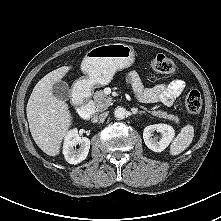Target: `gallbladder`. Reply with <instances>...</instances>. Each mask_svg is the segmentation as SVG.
Instances as JSON below:
<instances>
[{
  "label": "gallbladder",
  "mask_w": 221,
  "mask_h": 221,
  "mask_svg": "<svg viewBox=\"0 0 221 221\" xmlns=\"http://www.w3.org/2000/svg\"><path fill=\"white\" fill-rule=\"evenodd\" d=\"M53 95L60 100H68L71 97V89L64 81L56 82L52 89Z\"/></svg>",
  "instance_id": "bac80fb5"
}]
</instances>
